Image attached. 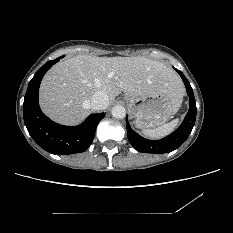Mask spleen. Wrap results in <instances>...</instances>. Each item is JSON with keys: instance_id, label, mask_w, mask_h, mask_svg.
Wrapping results in <instances>:
<instances>
[{"instance_id": "1", "label": "spleen", "mask_w": 233, "mask_h": 233, "mask_svg": "<svg viewBox=\"0 0 233 233\" xmlns=\"http://www.w3.org/2000/svg\"><path fill=\"white\" fill-rule=\"evenodd\" d=\"M179 120L174 119L171 122L153 129H143L142 133L151 139H159L170 134L178 125Z\"/></svg>"}]
</instances>
